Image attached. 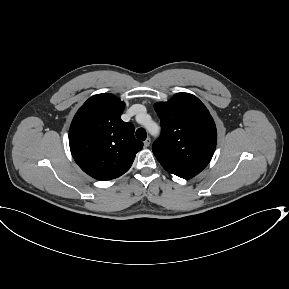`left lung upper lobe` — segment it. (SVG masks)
<instances>
[{
	"instance_id": "obj_1",
	"label": "left lung upper lobe",
	"mask_w": 289,
	"mask_h": 289,
	"mask_svg": "<svg viewBox=\"0 0 289 289\" xmlns=\"http://www.w3.org/2000/svg\"><path fill=\"white\" fill-rule=\"evenodd\" d=\"M161 135L152 150L163 168L190 179L210 162L216 147L217 131L205 105L194 95L177 93L155 105Z\"/></svg>"
}]
</instances>
